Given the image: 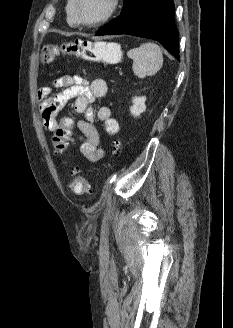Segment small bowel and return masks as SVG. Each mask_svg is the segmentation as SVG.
<instances>
[{"label":"small bowel","instance_id":"small-bowel-1","mask_svg":"<svg viewBox=\"0 0 233 328\" xmlns=\"http://www.w3.org/2000/svg\"><path fill=\"white\" fill-rule=\"evenodd\" d=\"M55 88H62V91L51 97L50 94ZM106 93L107 84L103 79H94L89 82L80 75H63L38 91L44 125L52 132L58 126L59 111L70 100H75L73 105L75 112L84 115V119L77 123L81 141L80 152L91 162H97L103 157V150L99 146L100 135L93 125L95 116L103 124L109 136H114L119 131V124L112 117L110 108L102 106L96 113L93 108V103L103 98Z\"/></svg>","mask_w":233,"mask_h":328}]
</instances>
